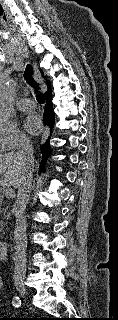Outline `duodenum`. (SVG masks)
I'll use <instances>...</instances> for the list:
<instances>
[{
  "label": "duodenum",
  "instance_id": "1",
  "mask_svg": "<svg viewBox=\"0 0 118 320\" xmlns=\"http://www.w3.org/2000/svg\"><path fill=\"white\" fill-rule=\"evenodd\" d=\"M8 243L6 241H0V259H6L8 256Z\"/></svg>",
  "mask_w": 118,
  "mask_h": 320
}]
</instances>
